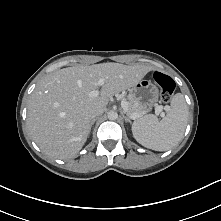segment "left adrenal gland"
<instances>
[{
    "label": "left adrenal gland",
    "instance_id": "a2214340",
    "mask_svg": "<svg viewBox=\"0 0 221 221\" xmlns=\"http://www.w3.org/2000/svg\"><path fill=\"white\" fill-rule=\"evenodd\" d=\"M125 122L131 123V120L128 116L124 115Z\"/></svg>",
    "mask_w": 221,
    "mask_h": 221
}]
</instances>
